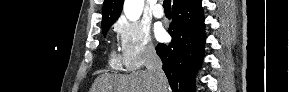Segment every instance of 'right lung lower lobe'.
I'll list each match as a JSON object with an SVG mask.
<instances>
[{
  "label": "right lung lower lobe",
  "mask_w": 289,
  "mask_h": 92,
  "mask_svg": "<svg viewBox=\"0 0 289 92\" xmlns=\"http://www.w3.org/2000/svg\"><path fill=\"white\" fill-rule=\"evenodd\" d=\"M168 32L170 44H158L156 52L173 92H194L195 73L204 57L205 24L201 0L172 8Z\"/></svg>",
  "instance_id": "obj_1"
}]
</instances>
